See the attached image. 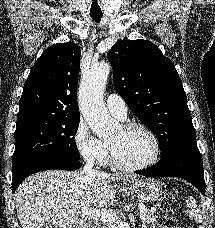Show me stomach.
Returning a JSON list of instances; mask_svg holds the SVG:
<instances>
[{
  "label": "stomach",
  "instance_id": "1",
  "mask_svg": "<svg viewBox=\"0 0 215 228\" xmlns=\"http://www.w3.org/2000/svg\"><path fill=\"white\" fill-rule=\"evenodd\" d=\"M122 182L128 186L134 196H137L139 200H144V202H156L163 192V188L159 180H125L122 178Z\"/></svg>",
  "mask_w": 215,
  "mask_h": 228
}]
</instances>
